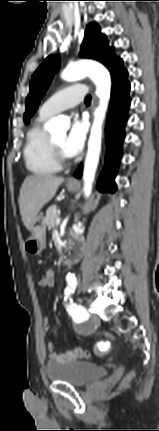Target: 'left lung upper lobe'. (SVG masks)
Returning <instances> with one entry per match:
<instances>
[{
    "label": "left lung upper lobe",
    "instance_id": "left-lung-upper-lobe-1",
    "mask_svg": "<svg viewBox=\"0 0 159 431\" xmlns=\"http://www.w3.org/2000/svg\"><path fill=\"white\" fill-rule=\"evenodd\" d=\"M79 55L82 58H92L102 62L110 70L111 76L123 67L122 59L113 55L106 36L101 34L100 28L96 23H91L87 26ZM59 65V58L49 55L33 74L30 82V93L26 98L25 123L29 122L37 110L40 100L50 85L51 79L59 68Z\"/></svg>",
    "mask_w": 159,
    "mask_h": 431
}]
</instances>
